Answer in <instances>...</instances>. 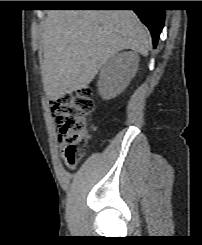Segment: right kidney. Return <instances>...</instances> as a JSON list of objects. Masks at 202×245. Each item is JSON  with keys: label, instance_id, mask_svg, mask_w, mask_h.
<instances>
[{"label": "right kidney", "instance_id": "obj_1", "mask_svg": "<svg viewBox=\"0 0 202 245\" xmlns=\"http://www.w3.org/2000/svg\"><path fill=\"white\" fill-rule=\"evenodd\" d=\"M139 60L135 52H122L102 66L97 86L103 99L115 98L128 86L138 70Z\"/></svg>", "mask_w": 202, "mask_h": 245}]
</instances>
